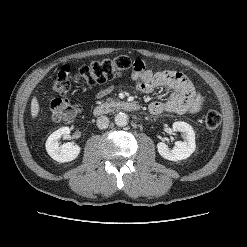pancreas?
I'll return each mask as SVG.
<instances>
[{
  "label": "pancreas",
  "instance_id": "pancreas-1",
  "mask_svg": "<svg viewBox=\"0 0 247 247\" xmlns=\"http://www.w3.org/2000/svg\"><path fill=\"white\" fill-rule=\"evenodd\" d=\"M107 102H109L110 104H112V103H114V102H115V99L108 98V99H107ZM106 104H108V103H106Z\"/></svg>",
  "mask_w": 247,
  "mask_h": 247
}]
</instances>
